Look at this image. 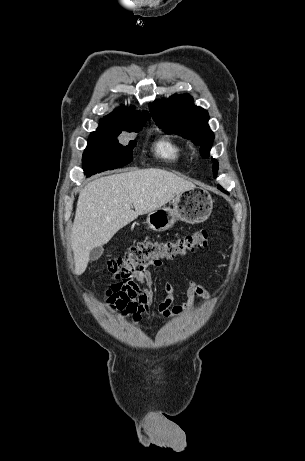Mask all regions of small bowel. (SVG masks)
I'll list each match as a JSON object with an SVG mask.
<instances>
[{"instance_id": "small-bowel-1", "label": "small bowel", "mask_w": 305, "mask_h": 461, "mask_svg": "<svg viewBox=\"0 0 305 461\" xmlns=\"http://www.w3.org/2000/svg\"><path fill=\"white\" fill-rule=\"evenodd\" d=\"M164 268L163 263L155 265ZM165 298L159 303L157 313L162 317L185 314L194 304L196 298L210 300L211 294L201 284L190 280L186 290V301L174 305V288L169 281L164 282ZM154 300V281L148 270L136 271L132 277L113 283L106 291V309L110 312L120 311L124 320L137 323L142 315H151Z\"/></svg>"}]
</instances>
